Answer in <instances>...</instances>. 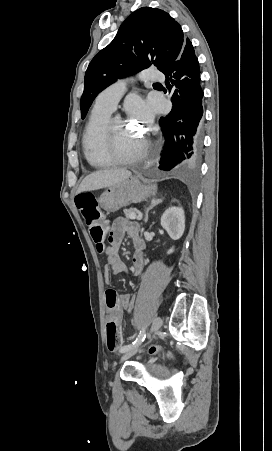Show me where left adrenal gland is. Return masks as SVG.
<instances>
[{"instance_id":"left-adrenal-gland-1","label":"left adrenal gland","mask_w":272,"mask_h":451,"mask_svg":"<svg viewBox=\"0 0 272 451\" xmlns=\"http://www.w3.org/2000/svg\"><path fill=\"white\" fill-rule=\"evenodd\" d=\"M161 202H163V200H159V198H153V200H151V206H149V208H147V210L145 212V214H146L145 220H144L145 224H146V222H148L149 210H152V208H154V206H157V204H161Z\"/></svg>"}]
</instances>
